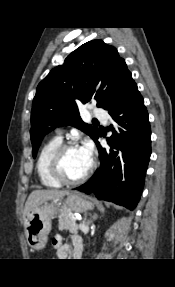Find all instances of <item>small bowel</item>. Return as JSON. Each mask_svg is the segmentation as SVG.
Returning a JSON list of instances; mask_svg holds the SVG:
<instances>
[{
    "label": "small bowel",
    "mask_w": 175,
    "mask_h": 287,
    "mask_svg": "<svg viewBox=\"0 0 175 287\" xmlns=\"http://www.w3.org/2000/svg\"><path fill=\"white\" fill-rule=\"evenodd\" d=\"M52 246L56 249V253L59 259H68L73 254H77L81 249V240L75 236L71 239L70 243H64L63 238L60 235H56L52 240Z\"/></svg>",
    "instance_id": "1"
}]
</instances>
